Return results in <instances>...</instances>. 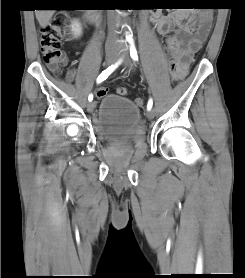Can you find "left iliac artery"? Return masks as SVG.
<instances>
[{
	"instance_id": "44dca946",
	"label": "left iliac artery",
	"mask_w": 245,
	"mask_h": 278,
	"mask_svg": "<svg viewBox=\"0 0 245 278\" xmlns=\"http://www.w3.org/2000/svg\"><path fill=\"white\" fill-rule=\"evenodd\" d=\"M128 41L131 44L130 56L134 61H138L137 51H136V48L134 46L132 38H128ZM152 106H153V100L150 98L149 101H148V104H147V109H151Z\"/></svg>"
}]
</instances>
